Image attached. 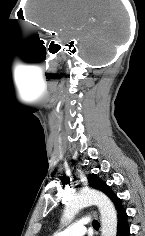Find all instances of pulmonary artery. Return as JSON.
I'll return each instance as SVG.
<instances>
[{"label": "pulmonary artery", "instance_id": "pulmonary-artery-1", "mask_svg": "<svg viewBox=\"0 0 145 236\" xmlns=\"http://www.w3.org/2000/svg\"><path fill=\"white\" fill-rule=\"evenodd\" d=\"M88 223L89 218L84 217L64 230L55 233L54 236H83L86 231L85 224Z\"/></svg>", "mask_w": 145, "mask_h": 236}]
</instances>
